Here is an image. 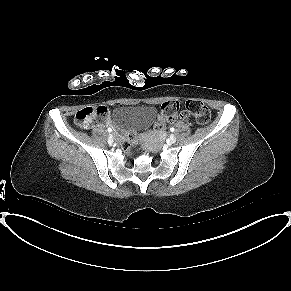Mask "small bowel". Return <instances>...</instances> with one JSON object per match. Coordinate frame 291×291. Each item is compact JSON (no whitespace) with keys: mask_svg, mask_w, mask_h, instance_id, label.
Returning <instances> with one entry per match:
<instances>
[{"mask_svg":"<svg viewBox=\"0 0 291 291\" xmlns=\"http://www.w3.org/2000/svg\"><path fill=\"white\" fill-rule=\"evenodd\" d=\"M177 117L181 122L186 121L188 119V115L185 112H181Z\"/></svg>","mask_w":291,"mask_h":291,"instance_id":"obj_1","label":"small bowel"}]
</instances>
